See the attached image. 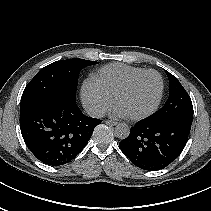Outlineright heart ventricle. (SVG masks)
<instances>
[{
  "mask_svg": "<svg viewBox=\"0 0 211 211\" xmlns=\"http://www.w3.org/2000/svg\"><path fill=\"white\" fill-rule=\"evenodd\" d=\"M144 70L141 67L113 63L100 68L92 79L112 96L128 79Z\"/></svg>",
  "mask_w": 211,
  "mask_h": 211,
  "instance_id": "obj_1",
  "label": "right heart ventricle"
}]
</instances>
